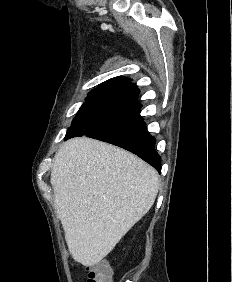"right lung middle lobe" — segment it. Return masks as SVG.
Wrapping results in <instances>:
<instances>
[{"instance_id":"1","label":"right lung middle lobe","mask_w":232,"mask_h":282,"mask_svg":"<svg viewBox=\"0 0 232 282\" xmlns=\"http://www.w3.org/2000/svg\"><path fill=\"white\" fill-rule=\"evenodd\" d=\"M138 94L136 91L89 93L65 139L119 129L143 120Z\"/></svg>"}]
</instances>
